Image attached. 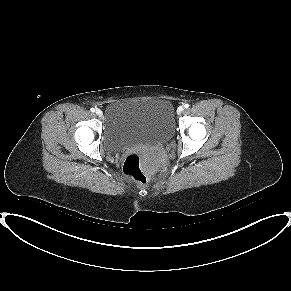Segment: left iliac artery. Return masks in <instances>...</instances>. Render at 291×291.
<instances>
[{"mask_svg": "<svg viewBox=\"0 0 291 291\" xmlns=\"http://www.w3.org/2000/svg\"><path fill=\"white\" fill-rule=\"evenodd\" d=\"M184 108H186V109L189 108V104H185Z\"/></svg>", "mask_w": 291, "mask_h": 291, "instance_id": "left-iliac-artery-1", "label": "left iliac artery"}]
</instances>
